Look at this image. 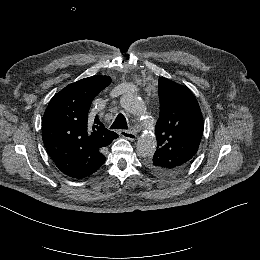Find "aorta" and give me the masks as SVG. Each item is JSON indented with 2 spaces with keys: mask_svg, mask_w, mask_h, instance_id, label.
<instances>
[{
  "mask_svg": "<svg viewBox=\"0 0 260 260\" xmlns=\"http://www.w3.org/2000/svg\"><path fill=\"white\" fill-rule=\"evenodd\" d=\"M123 109L135 116H145L146 108L142 99L135 93H126L120 99ZM144 126L148 130L137 141V152L141 157H152L156 151L157 139L153 133H149L153 129L154 120L146 118Z\"/></svg>",
  "mask_w": 260,
  "mask_h": 260,
  "instance_id": "1",
  "label": "aorta"
}]
</instances>
